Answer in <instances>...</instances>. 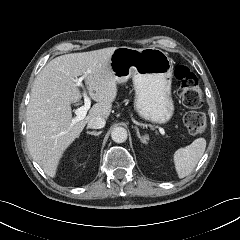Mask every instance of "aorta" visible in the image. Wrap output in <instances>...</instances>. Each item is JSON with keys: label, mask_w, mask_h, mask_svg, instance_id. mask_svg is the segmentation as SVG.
Wrapping results in <instances>:
<instances>
[{"label": "aorta", "mask_w": 240, "mask_h": 240, "mask_svg": "<svg viewBox=\"0 0 240 240\" xmlns=\"http://www.w3.org/2000/svg\"><path fill=\"white\" fill-rule=\"evenodd\" d=\"M127 131L123 127H115L111 132V138L116 143H123L127 140Z\"/></svg>", "instance_id": "1"}]
</instances>
